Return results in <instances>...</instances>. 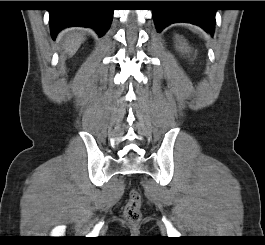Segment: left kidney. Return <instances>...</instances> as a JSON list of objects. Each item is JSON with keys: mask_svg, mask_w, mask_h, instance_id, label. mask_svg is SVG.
I'll return each instance as SVG.
<instances>
[{"mask_svg": "<svg viewBox=\"0 0 265 245\" xmlns=\"http://www.w3.org/2000/svg\"><path fill=\"white\" fill-rule=\"evenodd\" d=\"M174 39L176 43L175 47L179 52L182 54H189L191 52V47L188 45L186 39L177 34L175 35Z\"/></svg>", "mask_w": 265, "mask_h": 245, "instance_id": "obj_1", "label": "left kidney"}]
</instances>
